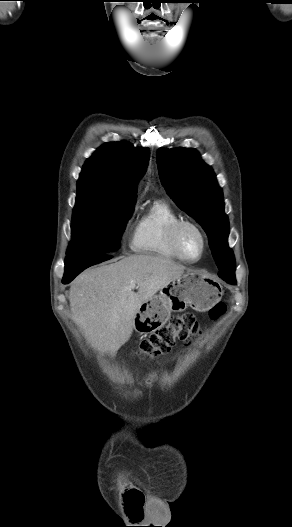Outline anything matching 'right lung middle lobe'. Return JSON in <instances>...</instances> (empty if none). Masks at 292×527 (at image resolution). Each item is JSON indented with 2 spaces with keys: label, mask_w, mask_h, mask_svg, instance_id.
<instances>
[{
  "label": "right lung middle lobe",
  "mask_w": 292,
  "mask_h": 527,
  "mask_svg": "<svg viewBox=\"0 0 292 527\" xmlns=\"http://www.w3.org/2000/svg\"><path fill=\"white\" fill-rule=\"evenodd\" d=\"M134 204L135 201H110L94 192H77L66 258L93 257L118 250Z\"/></svg>",
  "instance_id": "obj_1"
}]
</instances>
